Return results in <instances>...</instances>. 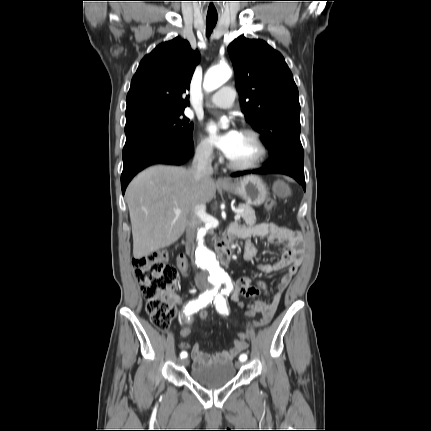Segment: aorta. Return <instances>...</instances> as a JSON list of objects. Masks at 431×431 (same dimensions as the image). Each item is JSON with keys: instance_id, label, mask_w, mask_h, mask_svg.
Here are the masks:
<instances>
[{"instance_id": "obj_1", "label": "aorta", "mask_w": 431, "mask_h": 431, "mask_svg": "<svg viewBox=\"0 0 431 431\" xmlns=\"http://www.w3.org/2000/svg\"><path fill=\"white\" fill-rule=\"evenodd\" d=\"M232 71L228 65H219L210 68L203 82L206 91H213L222 86L231 77ZM210 235V228L203 226L197 233V248L195 259L197 265L207 273L208 286H218L227 279V274L221 268L215 253L207 246L206 239Z\"/></svg>"}]
</instances>
